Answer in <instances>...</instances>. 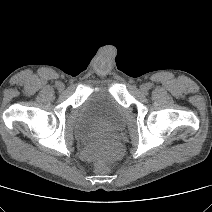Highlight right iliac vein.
<instances>
[{
	"label": "right iliac vein",
	"mask_w": 212,
	"mask_h": 212,
	"mask_svg": "<svg viewBox=\"0 0 212 212\" xmlns=\"http://www.w3.org/2000/svg\"><path fill=\"white\" fill-rule=\"evenodd\" d=\"M58 89H59L60 91H62V90L64 89V86L60 83V84L58 85Z\"/></svg>",
	"instance_id": "right-iliac-vein-1"
}]
</instances>
